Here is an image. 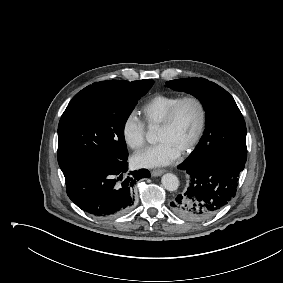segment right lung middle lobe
<instances>
[{
  "label": "right lung middle lobe",
  "instance_id": "right-lung-middle-lobe-1",
  "mask_svg": "<svg viewBox=\"0 0 283 283\" xmlns=\"http://www.w3.org/2000/svg\"><path fill=\"white\" fill-rule=\"evenodd\" d=\"M153 83V80H139L108 88L86 87L77 93L58 125L57 154L61 170L91 158L128 157L125 123Z\"/></svg>",
  "mask_w": 283,
  "mask_h": 283
}]
</instances>
